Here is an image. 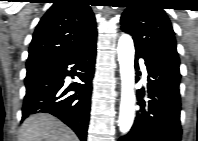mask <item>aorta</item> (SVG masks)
Masks as SVG:
<instances>
[{"instance_id":"obj_1","label":"aorta","mask_w":198,"mask_h":141,"mask_svg":"<svg viewBox=\"0 0 198 141\" xmlns=\"http://www.w3.org/2000/svg\"><path fill=\"white\" fill-rule=\"evenodd\" d=\"M118 61L121 76V103L118 126L121 133L126 134L134 121L135 93H134V43L127 34H122L117 46Z\"/></svg>"}]
</instances>
